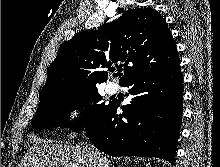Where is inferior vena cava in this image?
<instances>
[{
	"instance_id": "inferior-vena-cava-1",
	"label": "inferior vena cava",
	"mask_w": 220,
	"mask_h": 167,
	"mask_svg": "<svg viewBox=\"0 0 220 167\" xmlns=\"http://www.w3.org/2000/svg\"><path fill=\"white\" fill-rule=\"evenodd\" d=\"M90 147L94 148L92 145H90ZM94 156L97 161V167H110L106 157H104L100 152L95 150Z\"/></svg>"
}]
</instances>
